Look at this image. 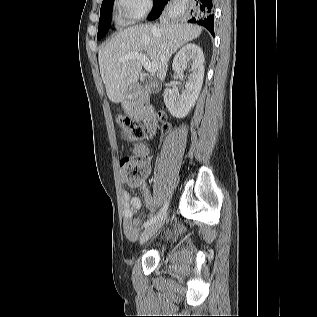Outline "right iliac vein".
<instances>
[{
    "mask_svg": "<svg viewBox=\"0 0 317 317\" xmlns=\"http://www.w3.org/2000/svg\"><path fill=\"white\" fill-rule=\"evenodd\" d=\"M165 220H166V215H164L163 218L158 220L156 223L147 227L144 230V232L141 234L140 243L143 244L147 242L163 226Z\"/></svg>",
    "mask_w": 317,
    "mask_h": 317,
    "instance_id": "right-iliac-vein-1",
    "label": "right iliac vein"
}]
</instances>
